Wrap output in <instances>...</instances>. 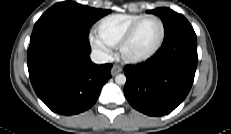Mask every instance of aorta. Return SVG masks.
Here are the masks:
<instances>
[{"label": "aorta", "instance_id": "1", "mask_svg": "<svg viewBox=\"0 0 231 134\" xmlns=\"http://www.w3.org/2000/svg\"><path fill=\"white\" fill-rule=\"evenodd\" d=\"M126 76L124 74H118L115 77V82L119 85H124L126 83Z\"/></svg>", "mask_w": 231, "mask_h": 134}]
</instances>
